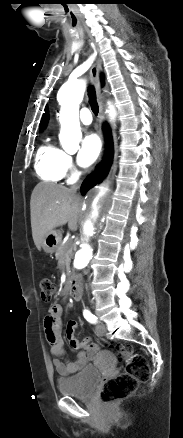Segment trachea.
Returning <instances> with one entry per match:
<instances>
[{
	"mask_svg": "<svg viewBox=\"0 0 183 438\" xmlns=\"http://www.w3.org/2000/svg\"><path fill=\"white\" fill-rule=\"evenodd\" d=\"M88 96H89V102L91 105V109L95 115H98L99 112V106L96 101V93L93 86L88 87Z\"/></svg>",
	"mask_w": 183,
	"mask_h": 438,
	"instance_id": "3493384b",
	"label": "trachea"
}]
</instances>
